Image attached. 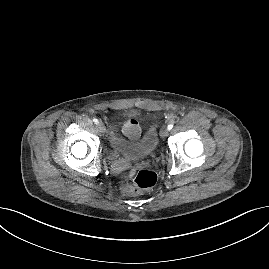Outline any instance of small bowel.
I'll use <instances>...</instances> for the list:
<instances>
[{
  "label": "small bowel",
  "mask_w": 269,
  "mask_h": 269,
  "mask_svg": "<svg viewBox=\"0 0 269 269\" xmlns=\"http://www.w3.org/2000/svg\"><path fill=\"white\" fill-rule=\"evenodd\" d=\"M121 131L131 139H136L140 134V126L136 119H130L122 124Z\"/></svg>",
  "instance_id": "1"
}]
</instances>
